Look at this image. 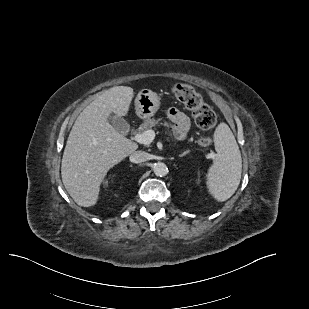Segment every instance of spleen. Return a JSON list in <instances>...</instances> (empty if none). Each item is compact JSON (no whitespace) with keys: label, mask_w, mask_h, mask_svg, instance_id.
Segmentation results:
<instances>
[{"label":"spleen","mask_w":309,"mask_h":309,"mask_svg":"<svg viewBox=\"0 0 309 309\" xmlns=\"http://www.w3.org/2000/svg\"><path fill=\"white\" fill-rule=\"evenodd\" d=\"M214 144L217 156L206 175V185L218 202H224L240 184L242 158L236 139L226 123L217 126Z\"/></svg>","instance_id":"obj_1"}]
</instances>
